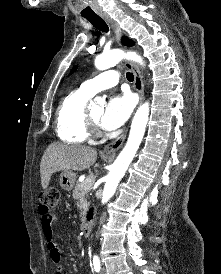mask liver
<instances>
[{
    "instance_id": "6515ba94",
    "label": "liver",
    "mask_w": 221,
    "mask_h": 274,
    "mask_svg": "<svg viewBox=\"0 0 221 274\" xmlns=\"http://www.w3.org/2000/svg\"><path fill=\"white\" fill-rule=\"evenodd\" d=\"M97 159L96 150L77 145L52 143L43 154L40 163L41 185L47 189L51 176L59 171H83Z\"/></svg>"
}]
</instances>
